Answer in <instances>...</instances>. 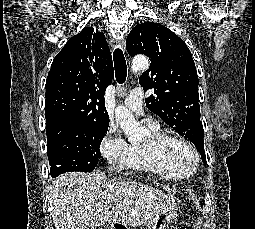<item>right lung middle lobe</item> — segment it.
I'll use <instances>...</instances> for the list:
<instances>
[{
  "mask_svg": "<svg viewBox=\"0 0 255 229\" xmlns=\"http://www.w3.org/2000/svg\"><path fill=\"white\" fill-rule=\"evenodd\" d=\"M109 123H55L46 125L50 175L91 172L100 159V144Z\"/></svg>",
  "mask_w": 255,
  "mask_h": 229,
  "instance_id": "right-lung-middle-lobe-1",
  "label": "right lung middle lobe"
}]
</instances>
